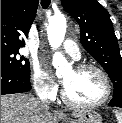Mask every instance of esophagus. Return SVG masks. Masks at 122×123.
<instances>
[{"label": "esophagus", "mask_w": 122, "mask_h": 123, "mask_svg": "<svg viewBox=\"0 0 122 123\" xmlns=\"http://www.w3.org/2000/svg\"><path fill=\"white\" fill-rule=\"evenodd\" d=\"M56 114H61V113L57 111Z\"/></svg>", "instance_id": "1"}]
</instances>
